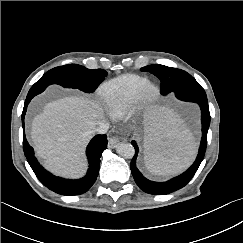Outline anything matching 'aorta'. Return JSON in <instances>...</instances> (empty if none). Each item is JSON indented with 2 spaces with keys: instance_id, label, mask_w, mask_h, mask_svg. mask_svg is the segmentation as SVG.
<instances>
[{
  "instance_id": "obj_1",
  "label": "aorta",
  "mask_w": 243,
  "mask_h": 243,
  "mask_svg": "<svg viewBox=\"0 0 243 243\" xmlns=\"http://www.w3.org/2000/svg\"><path fill=\"white\" fill-rule=\"evenodd\" d=\"M116 151L120 156L126 159H131L135 154V149L130 143L119 144Z\"/></svg>"
}]
</instances>
